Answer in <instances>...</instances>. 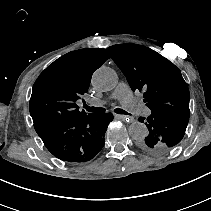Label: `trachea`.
I'll return each mask as SVG.
<instances>
[{"label": "trachea", "instance_id": "obj_1", "mask_svg": "<svg viewBox=\"0 0 211 211\" xmlns=\"http://www.w3.org/2000/svg\"><path fill=\"white\" fill-rule=\"evenodd\" d=\"M83 107L89 112H104V111H106V109L103 107H90V106H87L86 104H84ZM114 111H115V113H118L121 115H131L130 113H128L125 110L120 109V108H116Z\"/></svg>", "mask_w": 211, "mask_h": 211}]
</instances>
